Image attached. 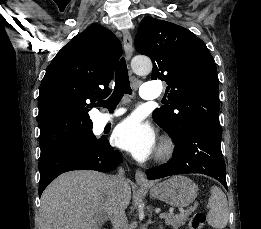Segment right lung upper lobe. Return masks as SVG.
Here are the masks:
<instances>
[{
    "label": "right lung upper lobe",
    "mask_w": 261,
    "mask_h": 229,
    "mask_svg": "<svg viewBox=\"0 0 261 229\" xmlns=\"http://www.w3.org/2000/svg\"><path fill=\"white\" fill-rule=\"evenodd\" d=\"M121 52L117 37L93 24L57 53L40 85V148L58 147L92 131L89 107L110 94Z\"/></svg>",
    "instance_id": "1"
}]
</instances>
